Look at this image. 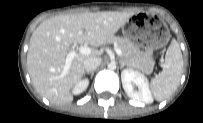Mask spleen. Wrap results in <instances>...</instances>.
<instances>
[{"label": "spleen", "mask_w": 203, "mask_h": 123, "mask_svg": "<svg viewBox=\"0 0 203 123\" xmlns=\"http://www.w3.org/2000/svg\"><path fill=\"white\" fill-rule=\"evenodd\" d=\"M183 73V58L179 44L173 40L165 56V67L151 80L150 87L154 98L162 101L177 89Z\"/></svg>", "instance_id": "spleen-1"}]
</instances>
